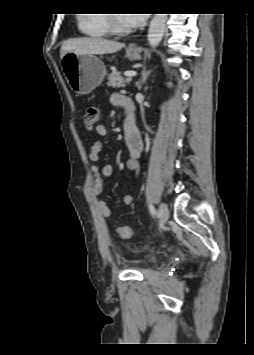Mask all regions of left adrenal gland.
<instances>
[{"instance_id": "obj_1", "label": "left adrenal gland", "mask_w": 254, "mask_h": 355, "mask_svg": "<svg viewBox=\"0 0 254 355\" xmlns=\"http://www.w3.org/2000/svg\"><path fill=\"white\" fill-rule=\"evenodd\" d=\"M150 73H151V70L146 71L145 68L143 69L142 74H141V79L138 82V89H141L143 84L146 83L147 77L150 75Z\"/></svg>"}]
</instances>
